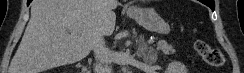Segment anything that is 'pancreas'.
Returning a JSON list of instances; mask_svg holds the SVG:
<instances>
[{"label":"pancreas","instance_id":"1","mask_svg":"<svg viewBox=\"0 0 244 73\" xmlns=\"http://www.w3.org/2000/svg\"><path fill=\"white\" fill-rule=\"evenodd\" d=\"M157 50L162 51L166 55L174 54L175 53V48L174 46L168 44L164 40H160L157 43ZM98 69L100 70V67L98 66Z\"/></svg>","mask_w":244,"mask_h":73}]
</instances>
